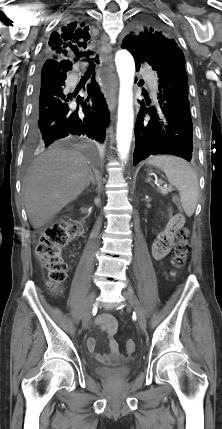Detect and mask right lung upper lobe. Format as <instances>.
Here are the masks:
<instances>
[{"label":"right lung upper lobe","instance_id":"right-lung-upper-lobe-1","mask_svg":"<svg viewBox=\"0 0 222 429\" xmlns=\"http://www.w3.org/2000/svg\"><path fill=\"white\" fill-rule=\"evenodd\" d=\"M87 31L74 25L69 28H62V32L53 33L46 47V57L53 60L69 61L73 55L79 58L92 54L90 51L82 52L79 50L80 47L86 48V41L90 38Z\"/></svg>","mask_w":222,"mask_h":429}]
</instances>
